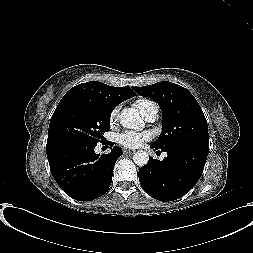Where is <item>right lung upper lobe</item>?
I'll use <instances>...</instances> for the list:
<instances>
[{
    "label": "right lung upper lobe",
    "instance_id": "right-lung-upper-lobe-1",
    "mask_svg": "<svg viewBox=\"0 0 253 253\" xmlns=\"http://www.w3.org/2000/svg\"><path fill=\"white\" fill-rule=\"evenodd\" d=\"M135 95L129 87H112L98 81H90L71 88L62 100L79 98L114 109L119 103Z\"/></svg>",
    "mask_w": 253,
    "mask_h": 253
}]
</instances>
